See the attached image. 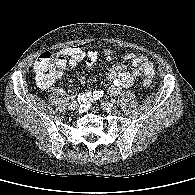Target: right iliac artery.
<instances>
[{
    "instance_id": "1",
    "label": "right iliac artery",
    "mask_w": 195,
    "mask_h": 195,
    "mask_svg": "<svg viewBox=\"0 0 195 195\" xmlns=\"http://www.w3.org/2000/svg\"><path fill=\"white\" fill-rule=\"evenodd\" d=\"M71 98L73 99V98H75V96H71Z\"/></svg>"
}]
</instances>
